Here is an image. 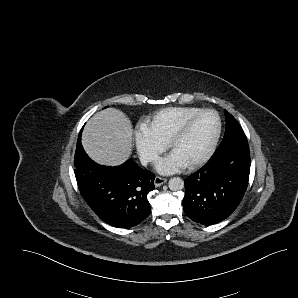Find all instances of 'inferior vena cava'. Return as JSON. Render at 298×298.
I'll use <instances>...</instances> for the list:
<instances>
[{
	"label": "inferior vena cava",
	"instance_id": "obj_1",
	"mask_svg": "<svg viewBox=\"0 0 298 298\" xmlns=\"http://www.w3.org/2000/svg\"><path fill=\"white\" fill-rule=\"evenodd\" d=\"M155 158L156 156L152 153H142L139 156L140 163L144 167H146L150 162H153Z\"/></svg>",
	"mask_w": 298,
	"mask_h": 298
}]
</instances>
